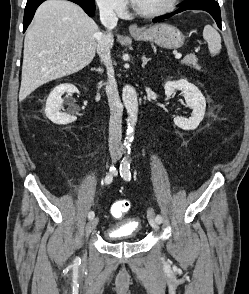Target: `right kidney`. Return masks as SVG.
Returning a JSON list of instances; mask_svg holds the SVG:
<instances>
[{
	"instance_id": "1",
	"label": "right kidney",
	"mask_w": 249,
	"mask_h": 294,
	"mask_svg": "<svg viewBox=\"0 0 249 294\" xmlns=\"http://www.w3.org/2000/svg\"><path fill=\"white\" fill-rule=\"evenodd\" d=\"M79 93L78 89L69 83L60 84L56 86L51 93L49 94L46 107L45 114L49 120H51L55 124L65 125L76 120V116H74V111L69 110L67 113L61 112V106L63 104V99L61 96L64 93Z\"/></svg>"
}]
</instances>
